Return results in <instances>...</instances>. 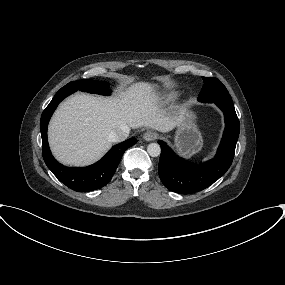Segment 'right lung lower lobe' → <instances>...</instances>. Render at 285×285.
<instances>
[{"mask_svg": "<svg viewBox=\"0 0 285 285\" xmlns=\"http://www.w3.org/2000/svg\"><path fill=\"white\" fill-rule=\"evenodd\" d=\"M71 90L60 89L46 109L43 111L40 120V130L42 136V154L47 167L53 174L67 187L78 192H88L105 186L113 174L124 152L132 145L136 144V138H130L112 149L97 163L83 168L66 167L58 163L51 154L47 141V126L51 115L58 104L68 95Z\"/></svg>", "mask_w": 285, "mask_h": 285, "instance_id": "obj_1", "label": "right lung lower lobe"}]
</instances>
